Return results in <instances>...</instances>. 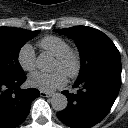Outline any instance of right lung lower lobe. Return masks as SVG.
<instances>
[{
  "label": "right lung lower lobe",
  "instance_id": "right-lung-lower-lobe-1",
  "mask_svg": "<svg viewBox=\"0 0 128 128\" xmlns=\"http://www.w3.org/2000/svg\"><path fill=\"white\" fill-rule=\"evenodd\" d=\"M25 73L11 79L0 78V128H15L29 114L31 102L40 95L35 88L20 89Z\"/></svg>",
  "mask_w": 128,
  "mask_h": 128
}]
</instances>
